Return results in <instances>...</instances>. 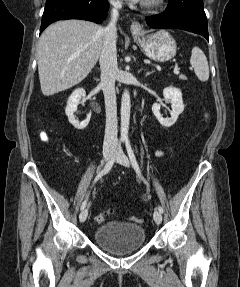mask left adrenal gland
<instances>
[{"mask_svg":"<svg viewBox=\"0 0 240 287\" xmlns=\"http://www.w3.org/2000/svg\"><path fill=\"white\" fill-rule=\"evenodd\" d=\"M151 73H153V71H148L145 76L147 77V76H149Z\"/></svg>","mask_w":240,"mask_h":287,"instance_id":"left-adrenal-gland-1","label":"left adrenal gland"}]
</instances>
